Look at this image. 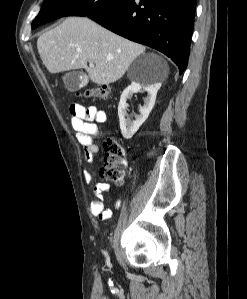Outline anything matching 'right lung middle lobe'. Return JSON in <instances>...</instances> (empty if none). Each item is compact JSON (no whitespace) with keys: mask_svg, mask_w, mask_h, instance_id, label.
Wrapping results in <instances>:
<instances>
[{"mask_svg":"<svg viewBox=\"0 0 247 299\" xmlns=\"http://www.w3.org/2000/svg\"><path fill=\"white\" fill-rule=\"evenodd\" d=\"M124 0H44L32 28L65 16H88L110 9Z\"/></svg>","mask_w":247,"mask_h":299,"instance_id":"dd1d6c3e","label":"right lung middle lobe"}]
</instances>
